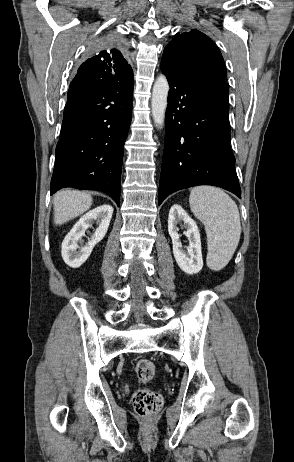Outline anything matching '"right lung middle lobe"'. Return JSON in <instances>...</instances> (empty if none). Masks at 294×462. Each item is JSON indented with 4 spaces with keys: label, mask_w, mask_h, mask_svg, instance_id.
Returning a JSON list of instances; mask_svg holds the SVG:
<instances>
[{
    "label": "right lung middle lobe",
    "mask_w": 294,
    "mask_h": 462,
    "mask_svg": "<svg viewBox=\"0 0 294 462\" xmlns=\"http://www.w3.org/2000/svg\"><path fill=\"white\" fill-rule=\"evenodd\" d=\"M123 45V41L118 34L113 31L107 32L97 38L89 48V53L95 54L102 48L120 47Z\"/></svg>",
    "instance_id": "obj_1"
}]
</instances>
